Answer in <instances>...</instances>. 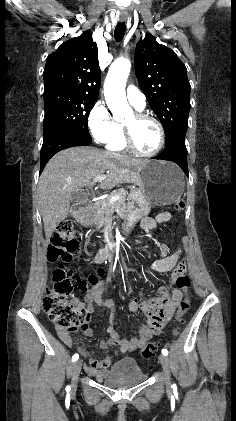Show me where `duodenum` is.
<instances>
[{
  "label": "duodenum",
  "mask_w": 236,
  "mask_h": 421,
  "mask_svg": "<svg viewBox=\"0 0 236 421\" xmlns=\"http://www.w3.org/2000/svg\"><path fill=\"white\" fill-rule=\"evenodd\" d=\"M90 207H91V201L89 199L82 200L75 204L74 209H73V214H74L75 219L80 224H83V225L90 224V221H89ZM113 247H114V244H110L106 246L103 250L99 252L97 259L100 261L106 259L110 255L111 251L113 250ZM160 293H161V296L156 300V304L158 305L159 310L162 313H164L165 316H169L172 312V307L175 302V298H171L165 292V290H161ZM155 325H156L155 321L150 320L149 326L143 327L141 330V333L145 337L150 336L151 334L155 333L157 330ZM109 331L112 336L111 343L121 344L122 351L132 348L133 345L137 341L136 338L132 339L131 341H120L118 339L117 333L112 328H110ZM91 372L95 374L96 376L98 374L95 370H91Z\"/></svg>",
  "instance_id": "duodenum-1"
}]
</instances>
